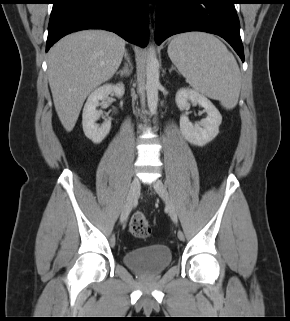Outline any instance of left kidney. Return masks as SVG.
<instances>
[{
    "mask_svg": "<svg viewBox=\"0 0 290 321\" xmlns=\"http://www.w3.org/2000/svg\"><path fill=\"white\" fill-rule=\"evenodd\" d=\"M175 100L180 110L189 108L191 102L199 104L207 113V117L195 125L190 122L185 114L181 115L180 131L189 143L204 146L218 135L222 116L209 99L197 91L182 88L176 93Z\"/></svg>",
    "mask_w": 290,
    "mask_h": 321,
    "instance_id": "obj_1",
    "label": "left kidney"
}]
</instances>
